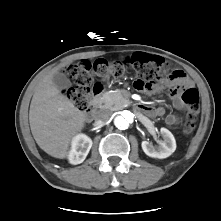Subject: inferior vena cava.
Here are the masks:
<instances>
[{"instance_id":"obj_1","label":"inferior vena cava","mask_w":221,"mask_h":221,"mask_svg":"<svg viewBox=\"0 0 221 221\" xmlns=\"http://www.w3.org/2000/svg\"><path fill=\"white\" fill-rule=\"evenodd\" d=\"M112 112L110 110L101 109L95 113V120L99 123H106L111 118Z\"/></svg>"}]
</instances>
